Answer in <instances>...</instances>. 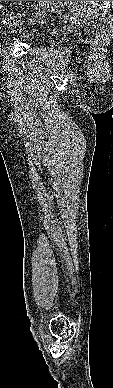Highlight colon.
Instances as JSON below:
<instances>
[{
	"mask_svg": "<svg viewBox=\"0 0 113 388\" xmlns=\"http://www.w3.org/2000/svg\"><path fill=\"white\" fill-rule=\"evenodd\" d=\"M21 22V15L15 14L13 12H6L2 17H0V23L4 25H14Z\"/></svg>",
	"mask_w": 113,
	"mask_h": 388,
	"instance_id": "obj_1",
	"label": "colon"
}]
</instances>
